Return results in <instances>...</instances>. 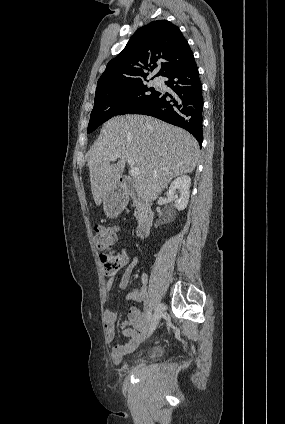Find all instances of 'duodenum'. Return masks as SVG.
Returning a JSON list of instances; mask_svg holds the SVG:
<instances>
[{"instance_id": "duodenum-1", "label": "duodenum", "mask_w": 285, "mask_h": 424, "mask_svg": "<svg viewBox=\"0 0 285 424\" xmlns=\"http://www.w3.org/2000/svg\"><path fill=\"white\" fill-rule=\"evenodd\" d=\"M120 187L127 194L133 193L136 191V182L135 179L130 176H123L120 179ZM137 209H138V226H137V236L139 238L148 237L153 220L154 212L151 207L142 199L137 200Z\"/></svg>"}]
</instances>
